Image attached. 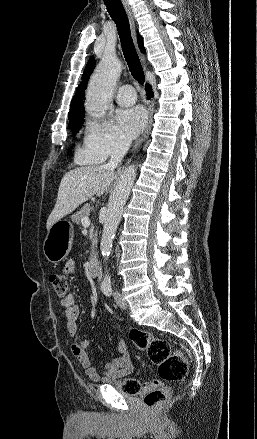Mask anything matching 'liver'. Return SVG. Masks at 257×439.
Masks as SVG:
<instances>
[{
    "label": "liver",
    "instance_id": "liver-1",
    "mask_svg": "<svg viewBox=\"0 0 257 439\" xmlns=\"http://www.w3.org/2000/svg\"><path fill=\"white\" fill-rule=\"evenodd\" d=\"M114 179L105 165L78 167L67 172L59 186L55 207L47 220V230L94 195L105 193Z\"/></svg>",
    "mask_w": 257,
    "mask_h": 439
}]
</instances>
